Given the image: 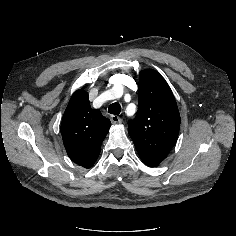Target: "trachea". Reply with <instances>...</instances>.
Returning <instances> with one entry per match:
<instances>
[{
	"label": "trachea",
	"instance_id": "3493384b",
	"mask_svg": "<svg viewBox=\"0 0 236 236\" xmlns=\"http://www.w3.org/2000/svg\"><path fill=\"white\" fill-rule=\"evenodd\" d=\"M108 112L113 115H118L121 112L120 104L117 102L112 103L108 108Z\"/></svg>",
	"mask_w": 236,
	"mask_h": 236
}]
</instances>
